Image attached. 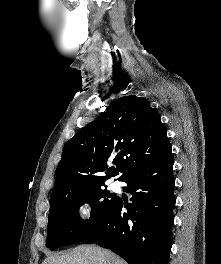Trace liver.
<instances>
[{"label": "liver", "mask_w": 221, "mask_h": 264, "mask_svg": "<svg viewBox=\"0 0 221 264\" xmlns=\"http://www.w3.org/2000/svg\"><path fill=\"white\" fill-rule=\"evenodd\" d=\"M42 264H127L111 251L100 247L78 246L65 254L48 256Z\"/></svg>", "instance_id": "6515ba94"}]
</instances>
